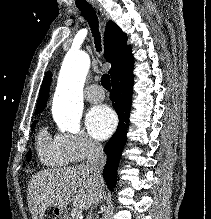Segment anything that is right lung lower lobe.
<instances>
[{"label": "right lung lower lobe", "instance_id": "right-lung-lower-lobe-1", "mask_svg": "<svg viewBox=\"0 0 211 219\" xmlns=\"http://www.w3.org/2000/svg\"><path fill=\"white\" fill-rule=\"evenodd\" d=\"M133 66L118 73L111 79L112 90L110 98L113 107L118 114L119 124L116 132L105 145L104 151L107 162L104 166L103 177L110 190L116 184L118 162L125 145L127 128L129 126V112L133 92Z\"/></svg>", "mask_w": 211, "mask_h": 219}]
</instances>
